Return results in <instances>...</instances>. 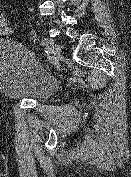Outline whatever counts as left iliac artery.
<instances>
[{
	"label": "left iliac artery",
	"mask_w": 131,
	"mask_h": 177,
	"mask_svg": "<svg viewBox=\"0 0 131 177\" xmlns=\"http://www.w3.org/2000/svg\"><path fill=\"white\" fill-rule=\"evenodd\" d=\"M52 40L50 39H43L41 42V45L44 47L45 49V56L47 57V62L51 63L52 59L50 58L52 56V53L50 52L49 46L52 44Z\"/></svg>",
	"instance_id": "left-iliac-artery-1"
}]
</instances>
